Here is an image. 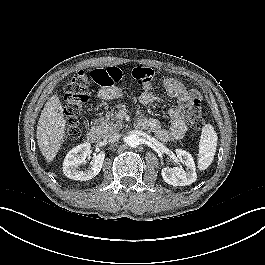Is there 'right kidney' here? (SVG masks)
Listing matches in <instances>:
<instances>
[{"label":"right kidney","instance_id":"ca27d5eb","mask_svg":"<svg viewBox=\"0 0 265 265\" xmlns=\"http://www.w3.org/2000/svg\"><path fill=\"white\" fill-rule=\"evenodd\" d=\"M90 148V143L85 142L72 148L67 153L63 162V172L68 178L86 181L92 179L100 172L105 158L103 152L99 153L92 159L88 170H82L79 168L81 164L85 163Z\"/></svg>","mask_w":265,"mask_h":265}]
</instances>
